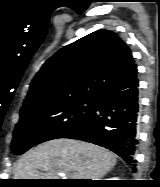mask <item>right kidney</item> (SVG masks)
I'll return each instance as SVG.
<instances>
[{
	"mask_svg": "<svg viewBox=\"0 0 160 187\" xmlns=\"http://www.w3.org/2000/svg\"><path fill=\"white\" fill-rule=\"evenodd\" d=\"M108 180H118V178H109Z\"/></svg>",
	"mask_w": 160,
	"mask_h": 187,
	"instance_id": "obj_1",
	"label": "right kidney"
}]
</instances>
